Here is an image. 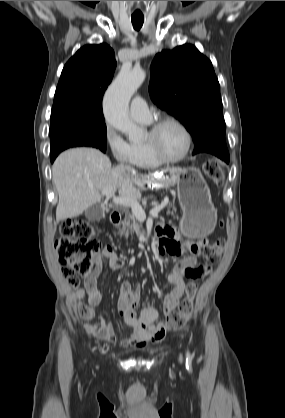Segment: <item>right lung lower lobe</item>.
Segmentation results:
<instances>
[{
    "mask_svg": "<svg viewBox=\"0 0 285 418\" xmlns=\"http://www.w3.org/2000/svg\"><path fill=\"white\" fill-rule=\"evenodd\" d=\"M57 157V156H56ZM56 157H51V162H53L55 160Z\"/></svg>",
    "mask_w": 285,
    "mask_h": 418,
    "instance_id": "right-lung-lower-lobe-1",
    "label": "right lung lower lobe"
}]
</instances>
